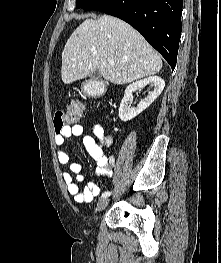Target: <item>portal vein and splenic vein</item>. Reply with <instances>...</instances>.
Returning a JSON list of instances; mask_svg holds the SVG:
<instances>
[{"instance_id": "portal-vein-and-splenic-vein-1", "label": "portal vein and splenic vein", "mask_w": 221, "mask_h": 263, "mask_svg": "<svg viewBox=\"0 0 221 263\" xmlns=\"http://www.w3.org/2000/svg\"><path fill=\"white\" fill-rule=\"evenodd\" d=\"M108 63H109V65H111V66H114V65H115L114 60H109Z\"/></svg>"}]
</instances>
